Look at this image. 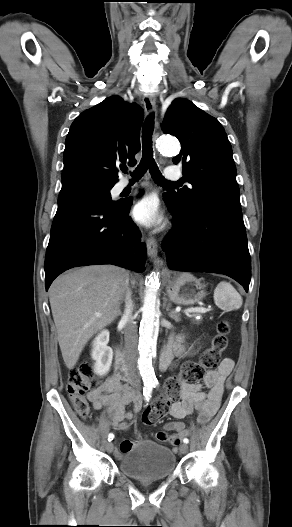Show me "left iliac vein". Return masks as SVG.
Here are the masks:
<instances>
[{
    "label": "left iliac vein",
    "instance_id": "4c4485c4",
    "mask_svg": "<svg viewBox=\"0 0 292 527\" xmlns=\"http://www.w3.org/2000/svg\"><path fill=\"white\" fill-rule=\"evenodd\" d=\"M179 450L181 454H186L188 452V445L186 443L181 444Z\"/></svg>",
    "mask_w": 292,
    "mask_h": 527
}]
</instances>
